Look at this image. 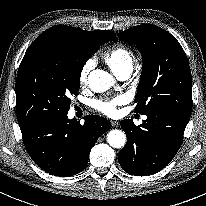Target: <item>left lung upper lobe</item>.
I'll return each mask as SVG.
<instances>
[{
  "label": "left lung upper lobe",
  "instance_id": "left-lung-upper-lobe-1",
  "mask_svg": "<svg viewBox=\"0 0 206 206\" xmlns=\"http://www.w3.org/2000/svg\"><path fill=\"white\" fill-rule=\"evenodd\" d=\"M118 38L135 45L143 57L134 111L145 114L153 109H169L191 113L192 77L179 42L152 24L120 32Z\"/></svg>",
  "mask_w": 206,
  "mask_h": 206
}]
</instances>
